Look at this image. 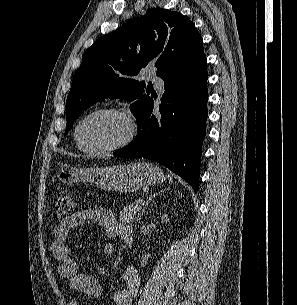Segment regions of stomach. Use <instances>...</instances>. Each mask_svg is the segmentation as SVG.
Listing matches in <instances>:
<instances>
[{"mask_svg": "<svg viewBox=\"0 0 297 305\" xmlns=\"http://www.w3.org/2000/svg\"><path fill=\"white\" fill-rule=\"evenodd\" d=\"M57 177L67 185L90 182L97 187L120 193H130L163 181L162 170L148 162L97 168H76L60 163Z\"/></svg>", "mask_w": 297, "mask_h": 305, "instance_id": "0dacf381", "label": "stomach"}]
</instances>
